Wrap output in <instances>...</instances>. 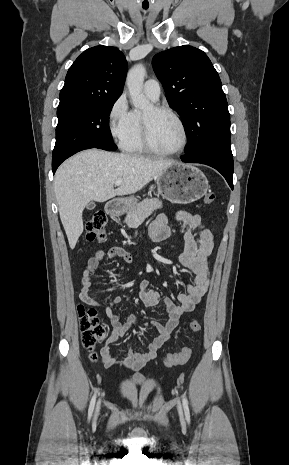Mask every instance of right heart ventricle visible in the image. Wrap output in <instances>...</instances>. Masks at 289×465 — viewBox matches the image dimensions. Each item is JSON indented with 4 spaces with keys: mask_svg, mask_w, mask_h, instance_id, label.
Listing matches in <instances>:
<instances>
[{
    "mask_svg": "<svg viewBox=\"0 0 289 465\" xmlns=\"http://www.w3.org/2000/svg\"><path fill=\"white\" fill-rule=\"evenodd\" d=\"M133 127L127 139L121 145L122 149L130 154L140 155L145 154L147 151L142 142V129H141V112L133 110Z\"/></svg>",
    "mask_w": 289,
    "mask_h": 465,
    "instance_id": "e07e8e85",
    "label": "right heart ventricle"
}]
</instances>
